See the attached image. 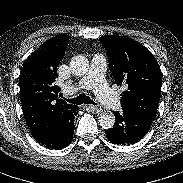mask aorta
Wrapping results in <instances>:
<instances>
[{
  "instance_id": "762f6f07",
  "label": "aorta",
  "mask_w": 183,
  "mask_h": 183,
  "mask_svg": "<svg viewBox=\"0 0 183 183\" xmlns=\"http://www.w3.org/2000/svg\"><path fill=\"white\" fill-rule=\"evenodd\" d=\"M71 72L75 76H84L89 69V61L85 56H74L70 61ZM99 124L104 129H110L115 124V117L113 114L103 113L99 116Z\"/></svg>"
}]
</instances>
